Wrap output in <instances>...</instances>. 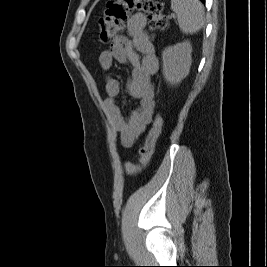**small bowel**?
I'll use <instances>...</instances> for the list:
<instances>
[{
    "label": "small bowel",
    "instance_id": "obj_1",
    "mask_svg": "<svg viewBox=\"0 0 267 267\" xmlns=\"http://www.w3.org/2000/svg\"><path fill=\"white\" fill-rule=\"evenodd\" d=\"M146 24L144 14L132 15L127 23L128 35L116 36L110 47L99 56L100 66L107 72L112 69L114 61L129 64L132 68L126 90L130 97L139 100V105L128 116L123 115L117 101L119 80L110 75L105 80V112L113 129L120 134L122 146L126 148L131 147L151 123L155 108L152 77L158 71L159 61L146 32Z\"/></svg>",
    "mask_w": 267,
    "mask_h": 267
}]
</instances>
